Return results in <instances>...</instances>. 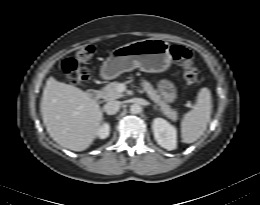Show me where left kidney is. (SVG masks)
<instances>
[{"label": "left kidney", "mask_w": 260, "mask_h": 205, "mask_svg": "<svg viewBox=\"0 0 260 205\" xmlns=\"http://www.w3.org/2000/svg\"><path fill=\"white\" fill-rule=\"evenodd\" d=\"M152 129L154 138L161 147L169 151L176 149L177 133L173 125L162 118H155L153 120Z\"/></svg>", "instance_id": "obj_1"}]
</instances>
